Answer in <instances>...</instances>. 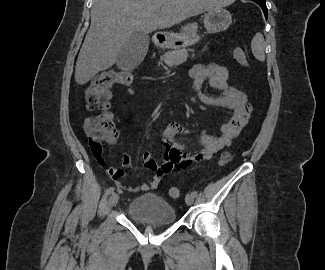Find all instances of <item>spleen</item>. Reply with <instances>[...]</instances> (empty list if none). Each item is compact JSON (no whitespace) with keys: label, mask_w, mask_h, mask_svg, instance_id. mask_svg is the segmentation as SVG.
Instances as JSON below:
<instances>
[{"label":"spleen","mask_w":325,"mask_h":270,"mask_svg":"<svg viewBox=\"0 0 325 270\" xmlns=\"http://www.w3.org/2000/svg\"><path fill=\"white\" fill-rule=\"evenodd\" d=\"M251 49L255 58L259 61H265V41L261 33H256L251 41Z\"/></svg>","instance_id":"obj_1"}]
</instances>
